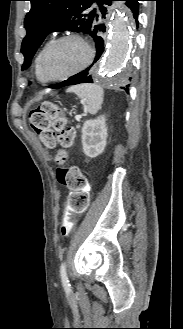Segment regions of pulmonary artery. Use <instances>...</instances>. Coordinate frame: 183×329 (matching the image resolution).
Instances as JSON below:
<instances>
[{
    "label": "pulmonary artery",
    "instance_id": "e3ab8cb5",
    "mask_svg": "<svg viewBox=\"0 0 183 329\" xmlns=\"http://www.w3.org/2000/svg\"><path fill=\"white\" fill-rule=\"evenodd\" d=\"M91 8H92V9H96L97 12H99V10H98V8H97V6H96L95 4H93V5L91 6Z\"/></svg>",
    "mask_w": 183,
    "mask_h": 329
}]
</instances>
